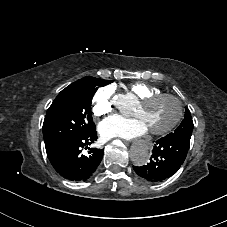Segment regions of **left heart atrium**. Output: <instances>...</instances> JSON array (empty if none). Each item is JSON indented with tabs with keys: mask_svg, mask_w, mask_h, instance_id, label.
Listing matches in <instances>:
<instances>
[{
	"mask_svg": "<svg viewBox=\"0 0 227 227\" xmlns=\"http://www.w3.org/2000/svg\"><path fill=\"white\" fill-rule=\"evenodd\" d=\"M98 131L103 139L113 137L133 139L146 134L148 128L140 118L125 119L116 116L102 121Z\"/></svg>",
	"mask_w": 227,
	"mask_h": 227,
	"instance_id": "1",
	"label": "left heart atrium"
}]
</instances>
